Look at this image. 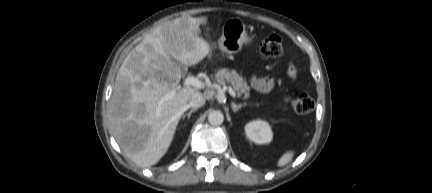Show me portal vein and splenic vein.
Wrapping results in <instances>:
<instances>
[{
  "mask_svg": "<svg viewBox=\"0 0 432 193\" xmlns=\"http://www.w3.org/2000/svg\"><path fill=\"white\" fill-rule=\"evenodd\" d=\"M184 86H193L195 88H199L202 89L205 87V84L199 80L198 78H195L193 76H189L185 79L184 81ZM229 94L235 98L236 97V92L234 91V89H232L231 87L227 88ZM175 95V91H171L170 93H168L165 97L166 98H171Z\"/></svg>",
  "mask_w": 432,
  "mask_h": 193,
  "instance_id": "18ae733b",
  "label": "portal vein and splenic vein"
}]
</instances>
